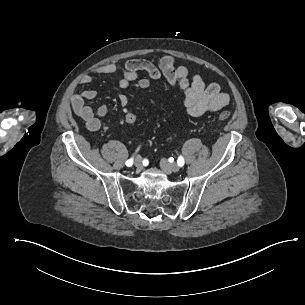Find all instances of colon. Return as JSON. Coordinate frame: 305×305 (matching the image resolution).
I'll use <instances>...</instances> for the list:
<instances>
[{
    "label": "colon",
    "mask_w": 305,
    "mask_h": 305,
    "mask_svg": "<svg viewBox=\"0 0 305 305\" xmlns=\"http://www.w3.org/2000/svg\"><path fill=\"white\" fill-rule=\"evenodd\" d=\"M150 83H152V80L143 79L139 82V87L141 89H147L150 86ZM230 116V112L228 111H222L218 113V118L220 120H225ZM137 121V115L135 112H128L124 116V122L127 124H134Z\"/></svg>",
    "instance_id": "obj_1"
}]
</instances>
